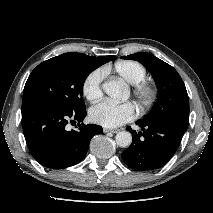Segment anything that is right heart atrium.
Returning a JSON list of instances; mask_svg holds the SVG:
<instances>
[{
    "label": "right heart atrium",
    "instance_id": "right-heart-atrium-1",
    "mask_svg": "<svg viewBox=\"0 0 213 213\" xmlns=\"http://www.w3.org/2000/svg\"><path fill=\"white\" fill-rule=\"evenodd\" d=\"M105 70L97 68L91 71L83 82V94L89 101H97L102 96V84Z\"/></svg>",
    "mask_w": 213,
    "mask_h": 213
}]
</instances>
